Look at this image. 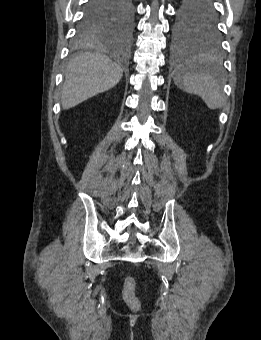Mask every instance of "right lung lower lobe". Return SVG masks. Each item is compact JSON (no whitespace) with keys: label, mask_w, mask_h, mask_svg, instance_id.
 <instances>
[{"label":"right lung lower lobe","mask_w":261,"mask_h":340,"mask_svg":"<svg viewBox=\"0 0 261 340\" xmlns=\"http://www.w3.org/2000/svg\"><path fill=\"white\" fill-rule=\"evenodd\" d=\"M124 7L125 0H89L83 18L88 19L96 15L116 16Z\"/></svg>","instance_id":"98d812e1"}]
</instances>
